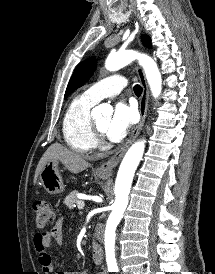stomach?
<instances>
[{"instance_id": "obj_1", "label": "stomach", "mask_w": 215, "mask_h": 274, "mask_svg": "<svg viewBox=\"0 0 215 274\" xmlns=\"http://www.w3.org/2000/svg\"><path fill=\"white\" fill-rule=\"evenodd\" d=\"M105 179L106 176L99 175ZM44 189L50 194H59L64 191V184L58 169V160H49L39 174Z\"/></svg>"}]
</instances>
